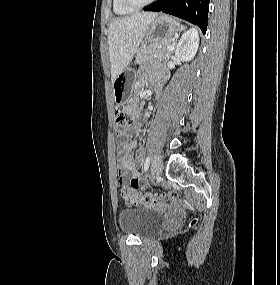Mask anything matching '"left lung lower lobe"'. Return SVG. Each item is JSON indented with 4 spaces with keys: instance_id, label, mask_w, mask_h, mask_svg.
Wrapping results in <instances>:
<instances>
[{
    "instance_id": "1",
    "label": "left lung lower lobe",
    "mask_w": 280,
    "mask_h": 285,
    "mask_svg": "<svg viewBox=\"0 0 280 285\" xmlns=\"http://www.w3.org/2000/svg\"><path fill=\"white\" fill-rule=\"evenodd\" d=\"M210 0H158L144 8L145 11H162L187 20L207 30L208 5Z\"/></svg>"
}]
</instances>
